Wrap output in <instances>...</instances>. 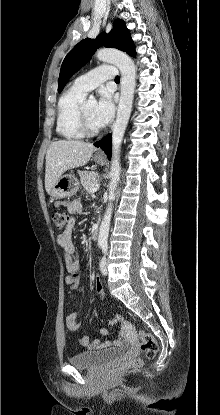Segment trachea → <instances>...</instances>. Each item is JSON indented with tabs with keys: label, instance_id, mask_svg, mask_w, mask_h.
<instances>
[{
	"label": "trachea",
	"instance_id": "trachea-1",
	"mask_svg": "<svg viewBox=\"0 0 220 415\" xmlns=\"http://www.w3.org/2000/svg\"><path fill=\"white\" fill-rule=\"evenodd\" d=\"M115 81L116 82H120V77L119 76H116Z\"/></svg>",
	"mask_w": 220,
	"mask_h": 415
}]
</instances>
